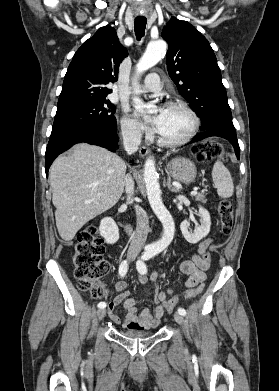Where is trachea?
<instances>
[{
    "instance_id": "obj_1",
    "label": "trachea",
    "mask_w": 279,
    "mask_h": 391,
    "mask_svg": "<svg viewBox=\"0 0 279 391\" xmlns=\"http://www.w3.org/2000/svg\"><path fill=\"white\" fill-rule=\"evenodd\" d=\"M147 20L146 18L137 17L134 21V31L137 37V40H141V38L145 34Z\"/></svg>"
}]
</instances>
